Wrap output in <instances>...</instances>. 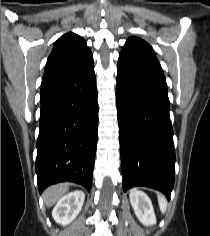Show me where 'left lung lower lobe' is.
Here are the masks:
<instances>
[{
  "label": "left lung lower lobe",
  "instance_id": "0a47b994",
  "mask_svg": "<svg viewBox=\"0 0 210 236\" xmlns=\"http://www.w3.org/2000/svg\"><path fill=\"white\" fill-rule=\"evenodd\" d=\"M116 101L124 191L146 186L169 200L175 150L164 74L118 62Z\"/></svg>",
  "mask_w": 210,
  "mask_h": 236
}]
</instances>
